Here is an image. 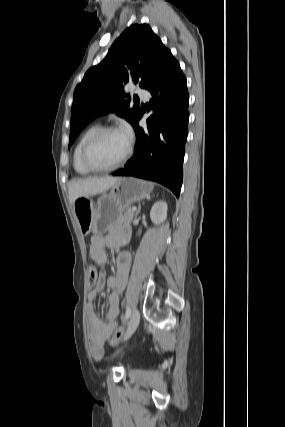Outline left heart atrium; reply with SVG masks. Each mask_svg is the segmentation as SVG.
Here are the masks:
<instances>
[{
  "mask_svg": "<svg viewBox=\"0 0 285 427\" xmlns=\"http://www.w3.org/2000/svg\"><path fill=\"white\" fill-rule=\"evenodd\" d=\"M120 132L126 137L128 141L132 140V130L129 125L123 124L120 128Z\"/></svg>",
  "mask_w": 285,
  "mask_h": 427,
  "instance_id": "obj_1",
  "label": "left heart atrium"
}]
</instances>
